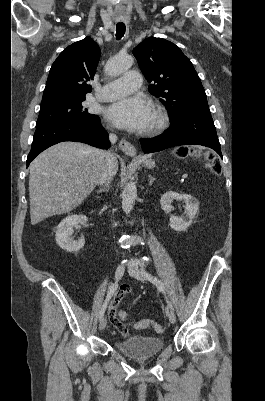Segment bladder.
<instances>
[{
    "instance_id": "obj_1",
    "label": "bladder",
    "mask_w": 265,
    "mask_h": 401,
    "mask_svg": "<svg viewBox=\"0 0 265 401\" xmlns=\"http://www.w3.org/2000/svg\"><path fill=\"white\" fill-rule=\"evenodd\" d=\"M164 344L163 338L151 336H135L127 340L114 341V346L118 351L135 358L157 355L164 349Z\"/></svg>"
}]
</instances>
